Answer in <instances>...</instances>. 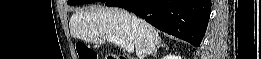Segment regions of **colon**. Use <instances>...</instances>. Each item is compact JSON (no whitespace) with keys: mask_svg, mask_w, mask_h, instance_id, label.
Masks as SVG:
<instances>
[{"mask_svg":"<svg viewBox=\"0 0 261 59\" xmlns=\"http://www.w3.org/2000/svg\"><path fill=\"white\" fill-rule=\"evenodd\" d=\"M77 54L79 59H97L96 52L87 44L79 43L77 45Z\"/></svg>","mask_w":261,"mask_h":59,"instance_id":"1","label":"colon"}]
</instances>
